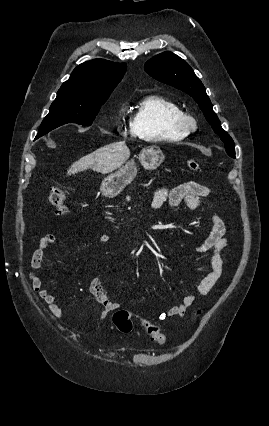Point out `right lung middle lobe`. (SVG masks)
Wrapping results in <instances>:
<instances>
[{
	"mask_svg": "<svg viewBox=\"0 0 269 426\" xmlns=\"http://www.w3.org/2000/svg\"><path fill=\"white\" fill-rule=\"evenodd\" d=\"M108 97L83 98L79 95L57 94L48 115L41 123L36 139L67 123L90 126Z\"/></svg>",
	"mask_w": 269,
	"mask_h": 426,
	"instance_id": "1",
	"label": "right lung middle lobe"
}]
</instances>
